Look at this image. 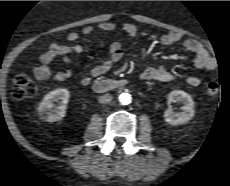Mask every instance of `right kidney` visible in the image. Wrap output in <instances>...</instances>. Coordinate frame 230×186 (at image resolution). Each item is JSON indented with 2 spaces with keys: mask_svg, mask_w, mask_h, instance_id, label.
Wrapping results in <instances>:
<instances>
[{
  "mask_svg": "<svg viewBox=\"0 0 230 186\" xmlns=\"http://www.w3.org/2000/svg\"><path fill=\"white\" fill-rule=\"evenodd\" d=\"M69 97L70 93L65 88H59L46 94L37 109L40 118L47 122L61 120L66 114ZM58 101H60V105L55 107L53 102Z\"/></svg>",
  "mask_w": 230,
  "mask_h": 186,
  "instance_id": "1",
  "label": "right kidney"
}]
</instances>
